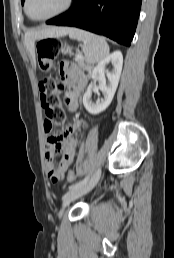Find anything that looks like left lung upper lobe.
<instances>
[{"label":"left lung upper lobe","instance_id":"obj_1","mask_svg":"<svg viewBox=\"0 0 174 258\" xmlns=\"http://www.w3.org/2000/svg\"><path fill=\"white\" fill-rule=\"evenodd\" d=\"M21 2H22V4H23L24 0H21Z\"/></svg>","mask_w":174,"mask_h":258}]
</instances>
